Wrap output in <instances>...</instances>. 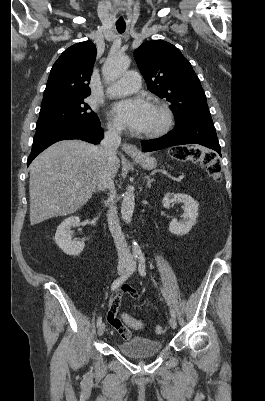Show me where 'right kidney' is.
I'll use <instances>...</instances> for the list:
<instances>
[{"instance_id": "1", "label": "right kidney", "mask_w": 265, "mask_h": 401, "mask_svg": "<svg viewBox=\"0 0 265 401\" xmlns=\"http://www.w3.org/2000/svg\"><path fill=\"white\" fill-rule=\"evenodd\" d=\"M79 223V217H67L60 223L55 233V243L66 255H80L85 247L84 241H72L71 239L72 231L70 229L77 227Z\"/></svg>"}]
</instances>
